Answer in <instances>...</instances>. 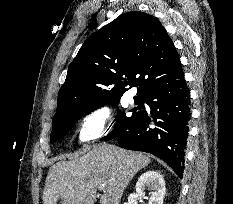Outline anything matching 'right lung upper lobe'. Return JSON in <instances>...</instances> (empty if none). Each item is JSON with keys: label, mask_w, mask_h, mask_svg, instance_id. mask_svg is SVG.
Masks as SVG:
<instances>
[{"label": "right lung upper lobe", "mask_w": 233, "mask_h": 204, "mask_svg": "<svg viewBox=\"0 0 233 204\" xmlns=\"http://www.w3.org/2000/svg\"><path fill=\"white\" fill-rule=\"evenodd\" d=\"M179 61L173 41L156 17L140 11L122 14L82 45L58 93L52 122L97 107L100 98L119 99L134 86L137 96L144 97ZM96 84L112 86L111 91L100 92Z\"/></svg>", "instance_id": "1"}]
</instances>
